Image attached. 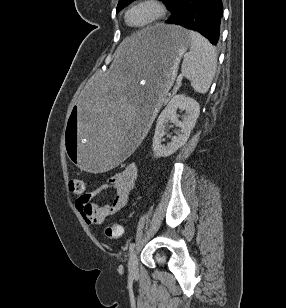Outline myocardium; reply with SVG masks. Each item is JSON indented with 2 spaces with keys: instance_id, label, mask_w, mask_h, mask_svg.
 I'll return each mask as SVG.
<instances>
[{
  "instance_id": "obj_1",
  "label": "myocardium",
  "mask_w": 286,
  "mask_h": 308,
  "mask_svg": "<svg viewBox=\"0 0 286 308\" xmlns=\"http://www.w3.org/2000/svg\"><path fill=\"white\" fill-rule=\"evenodd\" d=\"M143 4H149L151 5L155 11L156 14L155 16L147 23L142 24V25H133L129 22V13L131 12V10L139 5H143ZM166 9L163 5V3L160 0H136L135 2H133L130 7L126 10L125 12V22L128 26L134 28V29H144V28H148L151 27L152 25H155L156 23H158L165 15Z\"/></svg>"
}]
</instances>
